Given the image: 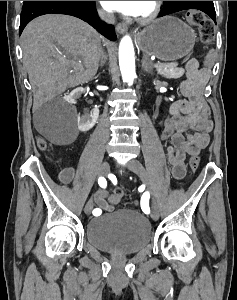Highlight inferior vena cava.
Masks as SVG:
<instances>
[{
  "label": "inferior vena cava",
  "mask_w": 237,
  "mask_h": 300,
  "mask_svg": "<svg viewBox=\"0 0 237 300\" xmlns=\"http://www.w3.org/2000/svg\"><path fill=\"white\" fill-rule=\"evenodd\" d=\"M100 19L106 21V23H110V25H114L116 19L113 13H105V11H98Z\"/></svg>",
  "instance_id": "1"
}]
</instances>
